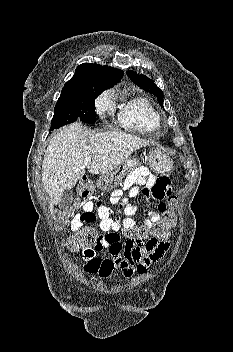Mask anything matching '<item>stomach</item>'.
Listing matches in <instances>:
<instances>
[{
    "mask_svg": "<svg viewBox=\"0 0 233 352\" xmlns=\"http://www.w3.org/2000/svg\"><path fill=\"white\" fill-rule=\"evenodd\" d=\"M147 166L156 173H166L172 168L171 158L160 149H151L146 156ZM140 165L135 157L127 158L114 170L103 174L97 181V187L103 191L116 188L121 182L126 172L132 171Z\"/></svg>",
    "mask_w": 233,
    "mask_h": 352,
    "instance_id": "0dacf381",
    "label": "stomach"
}]
</instances>
